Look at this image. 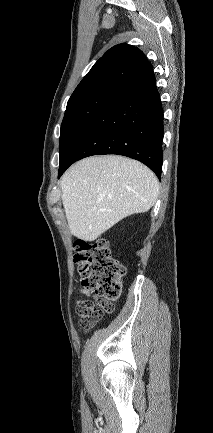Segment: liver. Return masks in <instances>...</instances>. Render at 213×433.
I'll return each instance as SVG.
<instances>
[{
  "label": "liver",
  "instance_id": "obj_1",
  "mask_svg": "<svg viewBox=\"0 0 213 433\" xmlns=\"http://www.w3.org/2000/svg\"><path fill=\"white\" fill-rule=\"evenodd\" d=\"M71 233L94 241L123 218L147 212L159 181L142 163L117 155L93 156L72 165L60 181Z\"/></svg>",
  "mask_w": 213,
  "mask_h": 433
}]
</instances>
